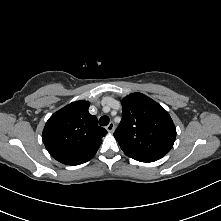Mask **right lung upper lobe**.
<instances>
[{
  "label": "right lung upper lobe",
  "mask_w": 221,
  "mask_h": 221,
  "mask_svg": "<svg viewBox=\"0 0 221 221\" xmlns=\"http://www.w3.org/2000/svg\"><path fill=\"white\" fill-rule=\"evenodd\" d=\"M90 103L72 102L55 112L46 122L42 140L57 161L79 165L94 157L107 131L98 126L97 118L88 112Z\"/></svg>",
  "instance_id": "right-lung-upper-lobe-1"
}]
</instances>
